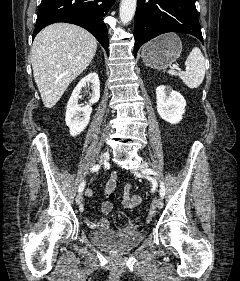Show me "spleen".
<instances>
[{
	"label": "spleen",
	"instance_id": "1",
	"mask_svg": "<svg viewBox=\"0 0 240 281\" xmlns=\"http://www.w3.org/2000/svg\"><path fill=\"white\" fill-rule=\"evenodd\" d=\"M186 71L177 72L170 69L168 73L172 76H179L183 83L190 89L198 88L205 77V59L198 47H194L186 61Z\"/></svg>",
	"mask_w": 240,
	"mask_h": 281
}]
</instances>
